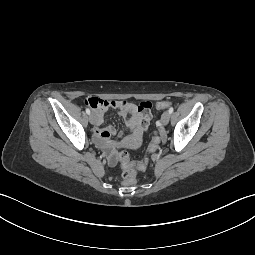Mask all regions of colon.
<instances>
[{"instance_id":"colon-1","label":"colon","mask_w":255,"mask_h":255,"mask_svg":"<svg viewBox=\"0 0 255 255\" xmlns=\"http://www.w3.org/2000/svg\"><path fill=\"white\" fill-rule=\"evenodd\" d=\"M156 106L159 109H164L169 106V103L162 101L158 102ZM158 144L159 137L155 135L149 145L148 153L154 152L157 149ZM117 161L122 168V184L126 187H131L136 184L138 169H145L147 165V159H145L142 163L136 166L132 161H130L129 155L124 151L118 153Z\"/></svg>"}]
</instances>
